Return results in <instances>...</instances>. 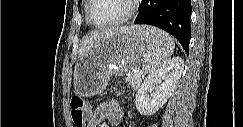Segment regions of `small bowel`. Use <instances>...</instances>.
Returning a JSON list of instances; mask_svg holds the SVG:
<instances>
[{
    "instance_id": "small-bowel-1",
    "label": "small bowel",
    "mask_w": 243,
    "mask_h": 127,
    "mask_svg": "<svg viewBox=\"0 0 243 127\" xmlns=\"http://www.w3.org/2000/svg\"><path fill=\"white\" fill-rule=\"evenodd\" d=\"M122 109L117 101L100 103L92 112L87 127H98L106 121L109 126H118Z\"/></svg>"
}]
</instances>
